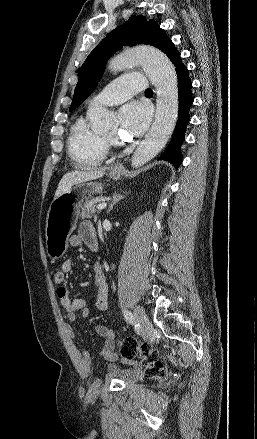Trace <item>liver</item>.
Wrapping results in <instances>:
<instances>
[{
  "mask_svg": "<svg viewBox=\"0 0 257 439\" xmlns=\"http://www.w3.org/2000/svg\"><path fill=\"white\" fill-rule=\"evenodd\" d=\"M105 169H90L84 171H71L66 173L59 182L54 199L68 191L74 185L103 177Z\"/></svg>",
  "mask_w": 257,
  "mask_h": 439,
  "instance_id": "1",
  "label": "liver"
}]
</instances>
